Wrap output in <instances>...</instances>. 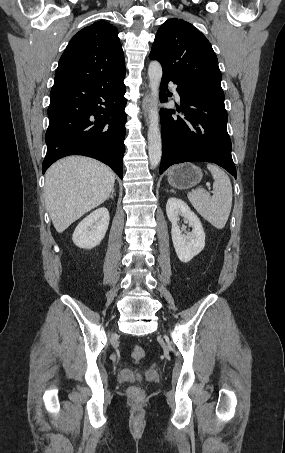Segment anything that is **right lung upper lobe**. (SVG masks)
<instances>
[{
	"mask_svg": "<svg viewBox=\"0 0 285 453\" xmlns=\"http://www.w3.org/2000/svg\"><path fill=\"white\" fill-rule=\"evenodd\" d=\"M125 71L117 28L102 20L73 36L59 60L55 78L75 75L95 78Z\"/></svg>",
	"mask_w": 285,
	"mask_h": 453,
	"instance_id": "obj_1",
	"label": "right lung upper lobe"
}]
</instances>
